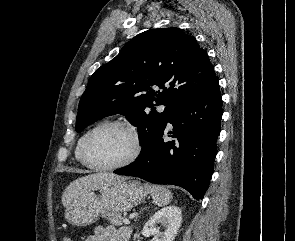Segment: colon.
I'll return each mask as SVG.
<instances>
[{"instance_id": "1", "label": "colon", "mask_w": 295, "mask_h": 241, "mask_svg": "<svg viewBox=\"0 0 295 241\" xmlns=\"http://www.w3.org/2000/svg\"><path fill=\"white\" fill-rule=\"evenodd\" d=\"M65 241H72L71 239H66Z\"/></svg>"}]
</instances>
